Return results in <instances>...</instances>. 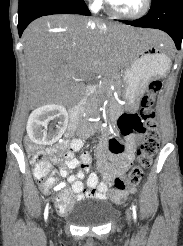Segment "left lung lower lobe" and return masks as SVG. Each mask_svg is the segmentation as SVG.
Masks as SVG:
<instances>
[{
	"instance_id": "1",
	"label": "left lung lower lobe",
	"mask_w": 183,
	"mask_h": 246,
	"mask_svg": "<svg viewBox=\"0 0 183 246\" xmlns=\"http://www.w3.org/2000/svg\"><path fill=\"white\" fill-rule=\"evenodd\" d=\"M125 24L160 29L174 40L177 49L183 38V0H153L148 14L133 21L119 20Z\"/></svg>"
}]
</instances>
